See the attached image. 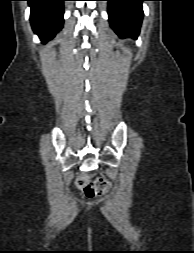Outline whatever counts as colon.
Returning <instances> with one entry per match:
<instances>
[{
	"label": "colon",
	"instance_id": "5ec220e1",
	"mask_svg": "<svg viewBox=\"0 0 194 253\" xmlns=\"http://www.w3.org/2000/svg\"><path fill=\"white\" fill-rule=\"evenodd\" d=\"M77 187L88 197H98L106 194L111 183L102 177L92 178L88 174L81 175L76 181Z\"/></svg>",
	"mask_w": 194,
	"mask_h": 253
}]
</instances>
